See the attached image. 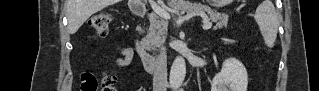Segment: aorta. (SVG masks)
<instances>
[{
    "mask_svg": "<svg viewBox=\"0 0 319 91\" xmlns=\"http://www.w3.org/2000/svg\"><path fill=\"white\" fill-rule=\"evenodd\" d=\"M186 76V62L181 56L175 58L170 70V86L173 89L179 88Z\"/></svg>",
    "mask_w": 319,
    "mask_h": 91,
    "instance_id": "obj_1",
    "label": "aorta"
}]
</instances>
